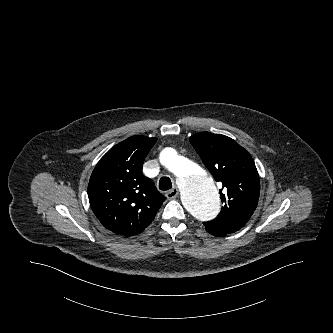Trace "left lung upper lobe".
<instances>
[{
    "instance_id": "obj_1",
    "label": "left lung upper lobe",
    "mask_w": 333,
    "mask_h": 333,
    "mask_svg": "<svg viewBox=\"0 0 333 333\" xmlns=\"http://www.w3.org/2000/svg\"><path fill=\"white\" fill-rule=\"evenodd\" d=\"M190 142L216 181L223 184L219 215L209 223L238 231L255 211L260 180L251 155L233 139L210 132L190 137Z\"/></svg>"
}]
</instances>
